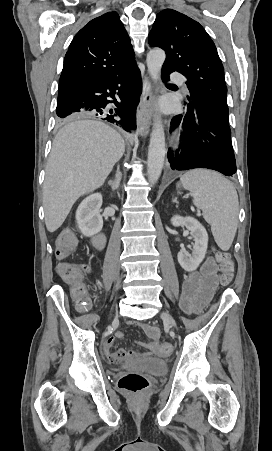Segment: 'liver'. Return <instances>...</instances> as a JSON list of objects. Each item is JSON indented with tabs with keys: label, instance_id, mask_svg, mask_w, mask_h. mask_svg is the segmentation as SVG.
<instances>
[{
	"label": "liver",
	"instance_id": "obj_1",
	"mask_svg": "<svg viewBox=\"0 0 272 451\" xmlns=\"http://www.w3.org/2000/svg\"><path fill=\"white\" fill-rule=\"evenodd\" d=\"M125 152V142L113 128L75 118L57 132L43 186L48 231H56L80 196L103 186Z\"/></svg>",
	"mask_w": 272,
	"mask_h": 451
}]
</instances>
